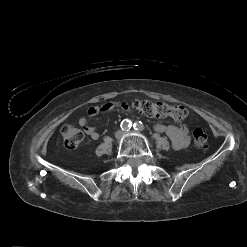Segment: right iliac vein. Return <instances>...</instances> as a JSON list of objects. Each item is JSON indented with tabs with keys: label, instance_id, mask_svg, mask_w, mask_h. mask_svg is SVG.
<instances>
[{
	"label": "right iliac vein",
	"instance_id": "63e3f726",
	"mask_svg": "<svg viewBox=\"0 0 247 247\" xmlns=\"http://www.w3.org/2000/svg\"><path fill=\"white\" fill-rule=\"evenodd\" d=\"M115 136L117 139H120L122 137V132L121 131L116 132Z\"/></svg>",
	"mask_w": 247,
	"mask_h": 247
}]
</instances>
